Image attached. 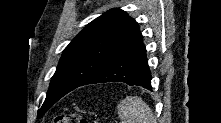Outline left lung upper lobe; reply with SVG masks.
I'll list each match as a JSON object with an SVG mask.
<instances>
[{
	"label": "left lung upper lobe",
	"mask_w": 221,
	"mask_h": 123,
	"mask_svg": "<svg viewBox=\"0 0 221 123\" xmlns=\"http://www.w3.org/2000/svg\"><path fill=\"white\" fill-rule=\"evenodd\" d=\"M141 40L138 24L123 10L111 9L93 20L64 49L39 116Z\"/></svg>",
	"instance_id": "obj_1"
}]
</instances>
